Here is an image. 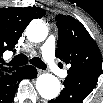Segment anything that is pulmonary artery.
Segmentation results:
<instances>
[{"instance_id": "1", "label": "pulmonary artery", "mask_w": 103, "mask_h": 103, "mask_svg": "<svg viewBox=\"0 0 103 103\" xmlns=\"http://www.w3.org/2000/svg\"><path fill=\"white\" fill-rule=\"evenodd\" d=\"M42 56L47 66L58 76L66 77L67 71L60 69L55 63V38L49 36L41 46Z\"/></svg>"}]
</instances>
